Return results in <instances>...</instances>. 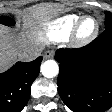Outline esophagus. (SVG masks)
<instances>
[{"instance_id":"obj_1","label":"esophagus","mask_w":112,"mask_h":112,"mask_svg":"<svg viewBox=\"0 0 112 112\" xmlns=\"http://www.w3.org/2000/svg\"><path fill=\"white\" fill-rule=\"evenodd\" d=\"M54 56V52L53 51H47L44 53V58L48 59V58H53Z\"/></svg>"}]
</instances>
